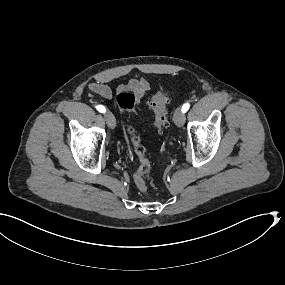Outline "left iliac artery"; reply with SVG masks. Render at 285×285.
I'll list each match as a JSON object with an SVG mask.
<instances>
[{"mask_svg":"<svg viewBox=\"0 0 285 285\" xmlns=\"http://www.w3.org/2000/svg\"><path fill=\"white\" fill-rule=\"evenodd\" d=\"M190 105L189 103H185L183 106H182V112L185 113L187 112V110L189 109Z\"/></svg>","mask_w":285,"mask_h":285,"instance_id":"left-iliac-artery-1","label":"left iliac artery"}]
</instances>
